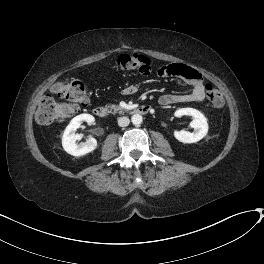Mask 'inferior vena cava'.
<instances>
[{"mask_svg": "<svg viewBox=\"0 0 264 264\" xmlns=\"http://www.w3.org/2000/svg\"><path fill=\"white\" fill-rule=\"evenodd\" d=\"M129 123H130V120H129L128 117H120V118H118V125L120 127H126V126L129 125Z\"/></svg>", "mask_w": 264, "mask_h": 264, "instance_id": "602c4592", "label": "inferior vena cava"}]
</instances>
